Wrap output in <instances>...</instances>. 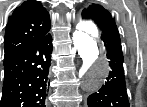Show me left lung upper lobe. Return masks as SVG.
Wrapping results in <instances>:
<instances>
[{"instance_id":"5c2ea615","label":"left lung upper lobe","mask_w":147,"mask_h":107,"mask_svg":"<svg viewBox=\"0 0 147 107\" xmlns=\"http://www.w3.org/2000/svg\"><path fill=\"white\" fill-rule=\"evenodd\" d=\"M82 18L94 21L101 33L112 29L117 30L115 20L111 17L110 12L99 4H91L85 8L82 11Z\"/></svg>"}]
</instances>
